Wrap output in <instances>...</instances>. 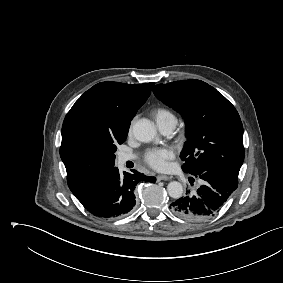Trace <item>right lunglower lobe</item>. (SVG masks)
<instances>
[{"mask_svg":"<svg viewBox=\"0 0 283 283\" xmlns=\"http://www.w3.org/2000/svg\"><path fill=\"white\" fill-rule=\"evenodd\" d=\"M120 175L114 167L100 180L75 193L84 208L101 218H117L126 215L135 205V187L141 181L156 182L155 177H148L132 170V173Z\"/></svg>","mask_w":283,"mask_h":283,"instance_id":"1","label":"right lung lower lobe"}]
</instances>
